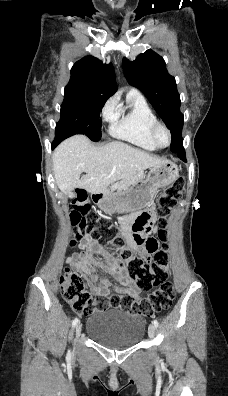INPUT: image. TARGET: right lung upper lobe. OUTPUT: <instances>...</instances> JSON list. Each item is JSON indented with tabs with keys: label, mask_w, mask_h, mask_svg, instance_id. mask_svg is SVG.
<instances>
[{
	"label": "right lung upper lobe",
	"mask_w": 228,
	"mask_h": 396,
	"mask_svg": "<svg viewBox=\"0 0 228 396\" xmlns=\"http://www.w3.org/2000/svg\"><path fill=\"white\" fill-rule=\"evenodd\" d=\"M65 89L96 93L108 99L116 90L114 68L93 56L77 61L71 69V78Z\"/></svg>",
	"instance_id": "obj_1"
}]
</instances>
